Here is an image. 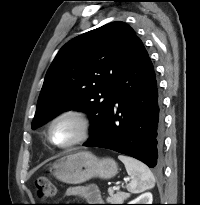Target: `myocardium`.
I'll return each instance as SVG.
<instances>
[{
    "instance_id": "f54148a6",
    "label": "myocardium",
    "mask_w": 200,
    "mask_h": 205,
    "mask_svg": "<svg viewBox=\"0 0 200 205\" xmlns=\"http://www.w3.org/2000/svg\"><path fill=\"white\" fill-rule=\"evenodd\" d=\"M62 120H71L78 127L77 136L68 143L58 144L54 141L52 132L54 126ZM91 133V122L88 115L77 109H68L56 115L49 123L47 129V139L51 145L60 149H69L85 142Z\"/></svg>"
}]
</instances>
